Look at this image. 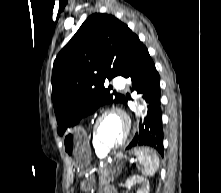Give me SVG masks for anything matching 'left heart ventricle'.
<instances>
[{
	"instance_id": "b2bd125f",
	"label": "left heart ventricle",
	"mask_w": 221,
	"mask_h": 193,
	"mask_svg": "<svg viewBox=\"0 0 221 193\" xmlns=\"http://www.w3.org/2000/svg\"><path fill=\"white\" fill-rule=\"evenodd\" d=\"M124 130V121L116 114L104 116L98 124V136L107 145L118 143L124 134Z\"/></svg>"
}]
</instances>
